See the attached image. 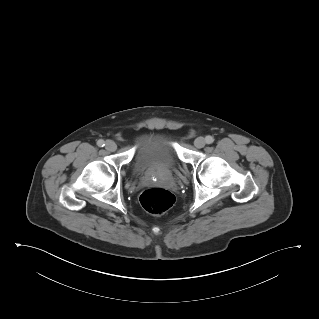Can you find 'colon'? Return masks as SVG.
Listing matches in <instances>:
<instances>
[{
    "label": "colon",
    "mask_w": 319,
    "mask_h": 319,
    "mask_svg": "<svg viewBox=\"0 0 319 319\" xmlns=\"http://www.w3.org/2000/svg\"><path fill=\"white\" fill-rule=\"evenodd\" d=\"M175 203V196L169 190L152 187L140 195V204L146 212L159 216L167 212Z\"/></svg>",
    "instance_id": "obj_1"
}]
</instances>
